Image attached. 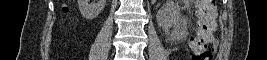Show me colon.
Here are the masks:
<instances>
[{
  "mask_svg": "<svg viewBox=\"0 0 267 60\" xmlns=\"http://www.w3.org/2000/svg\"><path fill=\"white\" fill-rule=\"evenodd\" d=\"M216 0L196 1L198 30L190 40L193 60H209L213 49L209 47V32L214 26L216 16Z\"/></svg>",
  "mask_w": 267,
  "mask_h": 60,
  "instance_id": "colon-1",
  "label": "colon"
}]
</instances>
